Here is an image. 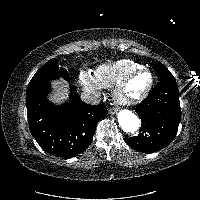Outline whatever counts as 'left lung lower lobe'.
Wrapping results in <instances>:
<instances>
[{
  "mask_svg": "<svg viewBox=\"0 0 200 200\" xmlns=\"http://www.w3.org/2000/svg\"><path fill=\"white\" fill-rule=\"evenodd\" d=\"M142 123L137 136L125 138L139 152H155L175 138L180 118L179 91L176 81H160L147 98L133 107Z\"/></svg>",
  "mask_w": 200,
  "mask_h": 200,
  "instance_id": "1",
  "label": "left lung lower lobe"
}]
</instances>
